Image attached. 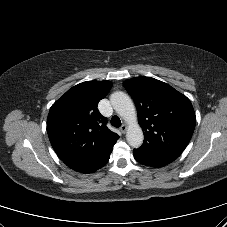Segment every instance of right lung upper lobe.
Segmentation results:
<instances>
[{"instance_id": "1", "label": "right lung upper lobe", "mask_w": 227, "mask_h": 227, "mask_svg": "<svg viewBox=\"0 0 227 227\" xmlns=\"http://www.w3.org/2000/svg\"><path fill=\"white\" fill-rule=\"evenodd\" d=\"M112 87L110 81H86L69 89L50 108L47 133L58 157L67 165L94 159L116 143L97 105Z\"/></svg>"}]
</instances>
